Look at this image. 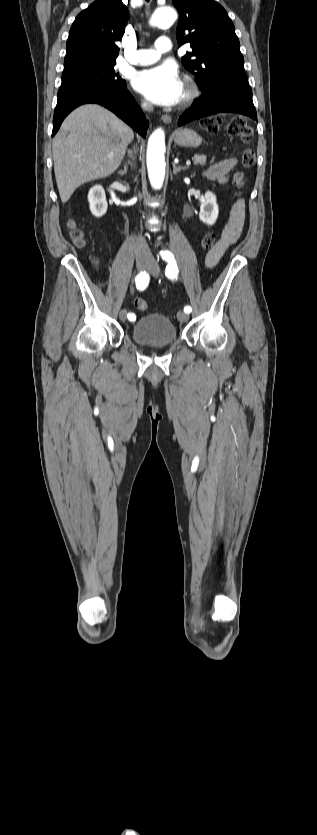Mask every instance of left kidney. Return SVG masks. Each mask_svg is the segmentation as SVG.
<instances>
[{
	"label": "left kidney",
	"mask_w": 317,
	"mask_h": 835,
	"mask_svg": "<svg viewBox=\"0 0 317 835\" xmlns=\"http://www.w3.org/2000/svg\"><path fill=\"white\" fill-rule=\"evenodd\" d=\"M218 213L219 209L216 196L212 192L207 191L204 199L201 201L199 218L203 223L213 225L217 220Z\"/></svg>",
	"instance_id": "1"
}]
</instances>
